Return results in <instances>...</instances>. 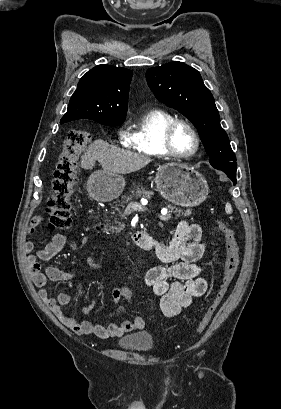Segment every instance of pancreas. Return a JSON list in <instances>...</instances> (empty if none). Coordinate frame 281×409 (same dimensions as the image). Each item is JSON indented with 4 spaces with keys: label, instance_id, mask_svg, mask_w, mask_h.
Returning <instances> with one entry per match:
<instances>
[{
    "label": "pancreas",
    "instance_id": "cf45deb5",
    "mask_svg": "<svg viewBox=\"0 0 281 409\" xmlns=\"http://www.w3.org/2000/svg\"><path fill=\"white\" fill-rule=\"evenodd\" d=\"M130 192H132V194L126 196L123 202H129V200H132V198H151L152 194H154L153 190H146L145 186H142V184H133ZM167 207L168 209H171V213H177L175 219L181 217L180 213H182V215H188V213H184L182 209H175V207H172V205H167Z\"/></svg>",
    "mask_w": 281,
    "mask_h": 409
}]
</instances>
